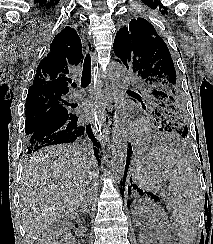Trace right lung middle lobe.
Masks as SVG:
<instances>
[{
    "instance_id": "1",
    "label": "right lung middle lobe",
    "mask_w": 213,
    "mask_h": 244,
    "mask_svg": "<svg viewBox=\"0 0 213 244\" xmlns=\"http://www.w3.org/2000/svg\"><path fill=\"white\" fill-rule=\"evenodd\" d=\"M70 104L64 96L44 94L27 97L25 135L29 137L38 128L72 113L67 110Z\"/></svg>"
}]
</instances>
